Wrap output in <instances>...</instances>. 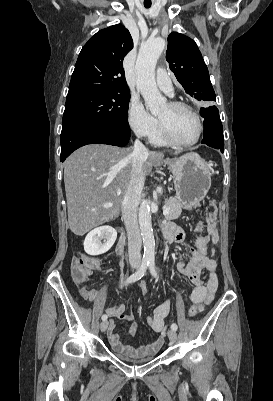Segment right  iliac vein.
I'll return each mask as SVG.
<instances>
[{
    "mask_svg": "<svg viewBox=\"0 0 273 401\" xmlns=\"http://www.w3.org/2000/svg\"><path fill=\"white\" fill-rule=\"evenodd\" d=\"M133 268H136V266H133ZM108 321L107 320H105V321H102V323H101V325H100V329H101V331L102 332H105L106 331V329H107V327H108Z\"/></svg>",
    "mask_w": 273,
    "mask_h": 401,
    "instance_id": "obj_1",
    "label": "right iliac vein"
}]
</instances>
